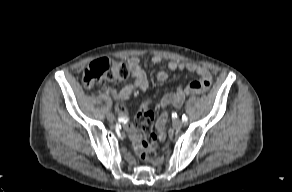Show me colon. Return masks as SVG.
I'll return each instance as SVG.
<instances>
[{
    "instance_id": "obj_1",
    "label": "colon",
    "mask_w": 292,
    "mask_h": 192,
    "mask_svg": "<svg viewBox=\"0 0 292 192\" xmlns=\"http://www.w3.org/2000/svg\"><path fill=\"white\" fill-rule=\"evenodd\" d=\"M129 75V69L126 64L115 62L108 58H101L88 65L83 74V81L86 86L92 87L103 85L107 82H120ZM150 104V100H146L137 114V124L144 134L142 146L139 150L140 159L143 162H150L156 156V142L153 141V133L150 131L154 120V112Z\"/></svg>"
}]
</instances>
